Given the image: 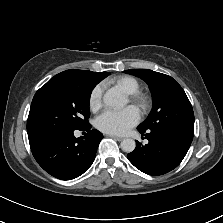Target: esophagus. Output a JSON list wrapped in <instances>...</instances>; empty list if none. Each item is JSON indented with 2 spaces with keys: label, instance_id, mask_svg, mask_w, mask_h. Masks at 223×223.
Masks as SVG:
<instances>
[{
  "label": "esophagus",
  "instance_id": "34e87169",
  "mask_svg": "<svg viewBox=\"0 0 223 223\" xmlns=\"http://www.w3.org/2000/svg\"><path fill=\"white\" fill-rule=\"evenodd\" d=\"M106 136H108V137H110V138H113V139H115V140H117V141H122V140H123L122 137H118V136H115V135H112V134H108V135H106Z\"/></svg>",
  "mask_w": 223,
  "mask_h": 223
}]
</instances>
